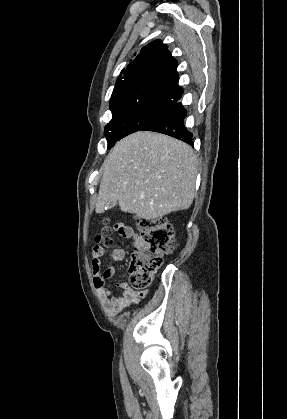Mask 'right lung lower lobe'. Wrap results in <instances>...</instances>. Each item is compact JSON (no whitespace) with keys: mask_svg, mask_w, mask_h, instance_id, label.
Segmentation results:
<instances>
[{"mask_svg":"<svg viewBox=\"0 0 287 419\" xmlns=\"http://www.w3.org/2000/svg\"><path fill=\"white\" fill-rule=\"evenodd\" d=\"M185 117L186 110L181 103L177 102L144 125L140 131H155L172 136L188 144H193L192 133L184 125Z\"/></svg>","mask_w":287,"mask_h":419,"instance_id":"98d812e1","label":"right lung lower lobe"}]
</instances>
